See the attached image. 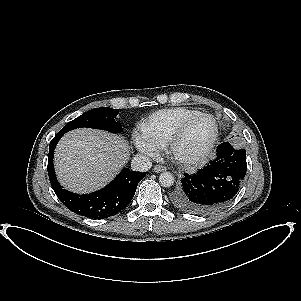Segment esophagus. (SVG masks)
I'll use <instances>...</instances> for the list:
<instances>
[{
  "label": "esophagus",
  "mask_w": 301,
  "mask_h": 301,
  "mask_svg": "<svg viewBox=\"0 0 301 301\" xmlns=\"http://www.w3.org/2000/svg\"><path fill=\"white\" fill-rule=\"evenodd\" d=\"M166 168L163 166V165H160V164H157L154 166L153 168V171L156 172V173H159V172H162V171H165Z\"/></svg>",
  "instance_id": "esophagus-1"
}]
</instances>
